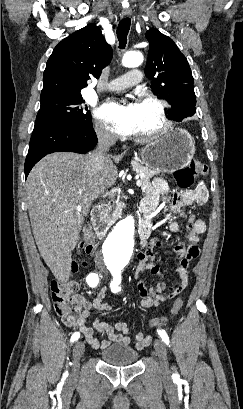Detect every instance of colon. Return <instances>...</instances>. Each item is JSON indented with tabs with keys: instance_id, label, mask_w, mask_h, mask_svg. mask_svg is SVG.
<instances>
[{
	"instance_id": "5ec220e1",
	"label": "colon",
	"mask_w": 243,
	"mask_h": 409,
	"mask_svg": "<svg viewBox=\"0 0 243 409\" xmlns=\"http://www.w3.org/2000/svg\"><path fill=\"white\" fill-rule=\"evenodd\" d=\"M207 167L201 161H192L187 166L175 172L174 177L179 187L188 188L197 177L206 175ZM94 245V236L88 231L84 234L81 241V249L85 253H91ZM85 261H74L72 263V272H77L81 266H85ZM79 285L76 281L67 282L53 281L51 283V297L56 313L68 325L75 324L81 313V309L74 300V294L78 291ZM183 307V300L177 298L170 309L168 316L153 318L149 321V326L157 328L163 326L171 316L176 315Z\"/></svg>"
}]
</instances>
